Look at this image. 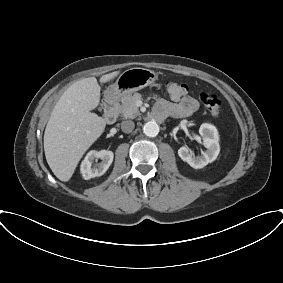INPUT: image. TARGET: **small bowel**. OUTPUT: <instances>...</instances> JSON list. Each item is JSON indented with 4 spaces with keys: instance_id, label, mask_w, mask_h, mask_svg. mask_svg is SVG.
Masks as SVG:
<instances>
[{
    "instance_id": "small-bowel-1",
    "label": "small bowel",
    "mask_w": 283,
    "mask_h": 283,
    "mask_svg": "<svg viewBox=\"0 0 283 283\" xmlns=\"http://www.w3.org/2000/svg\"><path fill=\"white\" fill-rule=\"evenodd\" d=\"M174 102L159 101L154 112L166 117L167 115L188 117L198 109V101L190 95L172 98Z\"/></svg>"
}]
</instances>
